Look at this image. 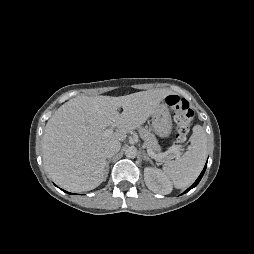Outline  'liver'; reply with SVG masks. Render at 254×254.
<instances>
[{
	"label": "liver",
	"mask_w": 254,
	"mask_h": 254,
	"mask_svg": "<svg viewBox=\"0 0 254 254\" xmlns=\"http://www.w3.org/2000/svg\"><path fill=\"white\" fill-rule=\"evenodd\" d=\"M171 94L153 89L119 97L77 96L64 103L48 120L43 135V163L49 176L74 192L99 186L105 180L107 144L125 140ZM108 127L118 129L105 136Z\"/></svg>",
	"instance_id": "obj_1"
}]
</instances>
